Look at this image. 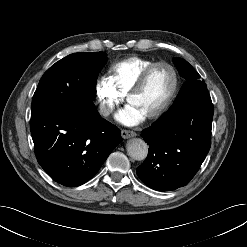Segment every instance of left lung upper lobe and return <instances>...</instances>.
<instances>
[{
  "mask_svg": "<svg viewBox=\"0 0 247 247\" xmlns=\"http://www.w3.org/2000/svg\"><path fill=\"white\" fill-rule=\"evenodd\" d=\"M173 61L180 75L186 81L169 110L175 109L176 107L180 106L198 91L207 89L205 82L200 79V75L192 68V66L187 61L178 57L173 58Z\"/></svg>",
  "mask_w": 247,
  "mask_h": 247,
  "instance_id": "1",
  "label": "left lung upper lobe"
}]
</instances>
